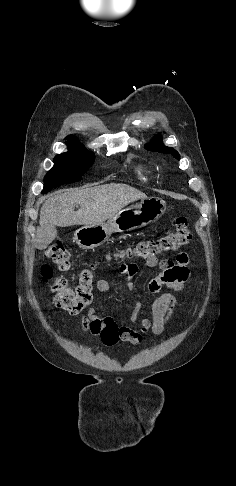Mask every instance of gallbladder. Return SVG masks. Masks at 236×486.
I'll return each mask as SVG.
<instances>
[{
    "label": "gallbladder",
    "mask_w": 236,
    "mask_h": 486,
    "mask_svg": "<svg viewBox=\"0 0 236 486\" xmlns=\"http://www.w3.org/2000/svg\"><path fill=\"white\" fill-rule=\"evenodd\" d=\"M57 229L54 225H48L37 234V248L45 249L56 237Z\"/></svg>",
    "instance_id": "gallbladder-1"
}]
</instances>
